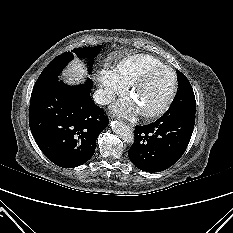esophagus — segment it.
Here are the masks:
<instances>
[{
	"label": "esophagus",
	"mask_w": 233,
	"mask_h": 233,
	"mask_svg": "<svg viewBox=\"0 0 233 233\" xmlns=\"http://www.w3.org/2000/svg\"><path fill=\"white\" fill-rule=\"evenodd\" d=\"M127 126L130 127L131 129H133L134 125L131 123H127Z\"/></svg>",
	"instance_id": "34e87169"
}]
</instances>
